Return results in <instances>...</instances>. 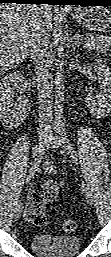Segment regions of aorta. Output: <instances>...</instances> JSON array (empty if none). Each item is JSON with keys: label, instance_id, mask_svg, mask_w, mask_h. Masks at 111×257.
<instances>
[{"label": "aorta", "instance_id": "obj_1", "mask_svg": "<svg viewBox=\"0 0 111 257\" xmlns=\"http://www.w3.org/2000/svg\"><path fill=\"white\" fill-rule=\"evenodd\" d=\"M64 48L60 46L58 48V67L55 77V84H56V100H55V107L57 112H61L63 108V100H64V70H63V63H64ZM59 120L57 123L59 124Z\"/></svg>", "mask_w": 111, "mask_h": 257}]
</instances>
